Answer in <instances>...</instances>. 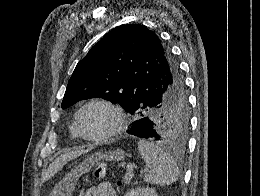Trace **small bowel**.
Here are the masks:
<instances>
[{
    "instance_id": "small-bowel-1",
    "label": "small bowel",
    "mask_w": 260,
    "mask_h": 196,
    "mask_svg": "<svg viewBox=\"0 0 260 196\" xmlns=\"http://www.w3.org/2000/svg\"><path fill=\"white\" fill-rule=\"evenodd\" d=\"M85 196H117V193L111 183L102 182L97 186L89 188Z\"/></svg>"
}]
</instances>
